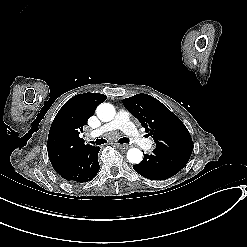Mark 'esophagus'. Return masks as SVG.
I'll use <instances>...</instances> for the list:
<instances>
[{"label": "esophagus", "mask_w": 247, "mask_h": 247, "mask_svg": "<svg viewBox=\"0 0 247 247\" xmlns=\"http://www.w3.org/2000/svg\"><path fill=\"white\" fill-rule=\"evenodd\" d=\"M117 148L120 150H127L129 149V146L128 145H117Z\"/></svg>", "instance_id": "obj_1"}]
</instances>
